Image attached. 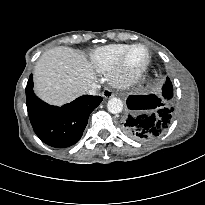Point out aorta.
Listing matches in <instances>:
<instances>
[{"mask_svg":"<svg viewBox=\"0 0 205 205\" xmlns=\"http://www.w3.org/2000/svg\"><path fill=\"white\" fill-rule=\"evenodd\" d=\"M107 109L112 114L121 113L123 110V102L121 99L112 97L107 102Z\"/></svg>","mask_w":205,"mask_h":205,"instance_id":"1","label":"aorta"}]
</instances>
